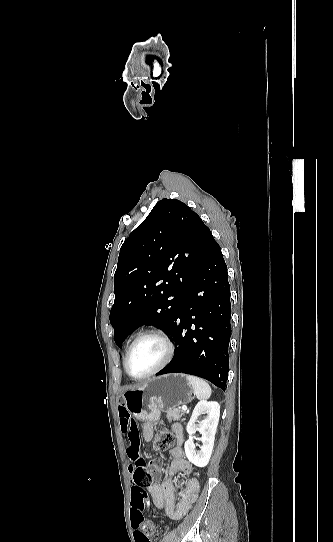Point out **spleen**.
Instances as JSON below:
<instances>
[{"label":"spleen","instance_id":"obj_1","mask_svg":"<svg viewBox=\"0 0 333 542\" xmlns=\"http://www.w3.org/2000/svg\"><path fill=\"white\" fill-rule=\"evenodd\" d=\"M194 394H196L198 400H208L212 394V390L204 380L196 378V376H186Z\"/></svg>","mask_w":333,"mask_h":542}]
</instances>
